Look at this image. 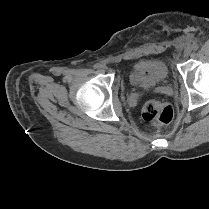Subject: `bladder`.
Instances as JSON below:
<instances>
[{
    "mask_svg": "<svg viewBox=\"0 0 209 209\" xmlns=\"http://www.w3.org/2000/svg\"><path fill=\"white\" fill-rule=\"evenodd\" d=\"M128 78L132 86L148 90L167 81L168 68L161 59H141L131 67Z\"/></svg>",
    "mask_w": 209,
    "mask_h": 209,
    "instance_id": "obj_1",
    "label": "bladder"
}]
</instances>
